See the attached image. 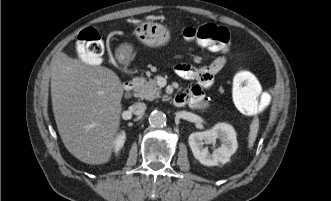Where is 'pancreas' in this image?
<instances>
[{
    "mask_svg": "<svg viewBox=\"0 0 331 201\" xmlns=\"http://www.w3.org/2000/svg\"><path fill=\"white\" fill-rule=\"evenodd\" d=\"M134 84L135 96L141 99L154 100L160 97L161 90L157 86L155 79L147 81L144 77H136L132 80ZM208 103L202 104V109L207 108Z\"/></svg>",
    "mask_w": 331,
    "mask_h": 201,
    "instance_id": "1",
    "label": "pancreas"
}]
</instances>
